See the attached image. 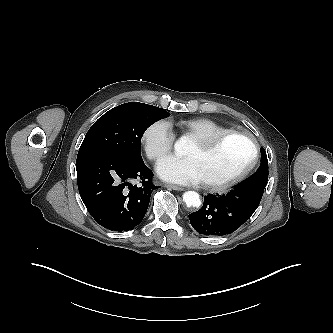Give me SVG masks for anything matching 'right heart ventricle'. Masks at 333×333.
<instances>
[{
    "instance_id": "right-heart-ventricle-1",
    "label": "right heart ventricle",
    "mask_w": 333,
    "mask_h": 333,
    "mask_svg": "<svg viewBox=\"0 0 333 333\" xmlns=\"http://www.w3.org/2000/svg\"><path fill=\"white\" fill-rule=\"evenodd\" d=\"M176 126L181 133L193 140L209 138L230 129L209 118L179 120Z\"/></svg>"
}]
</instances>
